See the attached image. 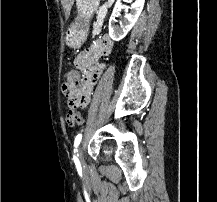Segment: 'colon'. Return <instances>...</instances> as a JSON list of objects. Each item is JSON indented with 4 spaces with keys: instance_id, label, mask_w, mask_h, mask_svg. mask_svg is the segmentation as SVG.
Wrapping results in <instances>:
<instances>
[{
    "instance_id": "5ec220e1",
    "label": "colon",
    "mask_w": 217,
    "mask_h": 202,
    "mask_svg": "<svg viewBox=\"0 0 217 202\" xmlns=\"http://www.w3.org/2000/svg\"><path fill=\"white\" fill-rule=\"evenodd\" d=\"M93 72L96 74L97 68L93 70ZM78 72L70 71L68 75L66 76L65 83L62 86V92L64 96L67 98L68 106L69 108H78L79 102H88V99L90 96H81L84 95V90H77V88H83L78 87V82L81 79ZM77 123L76 125H82L84 123V119L80 112H75ZM70 114L67 116V121L69 122Z\"/></svg>"
}]
</instances>
